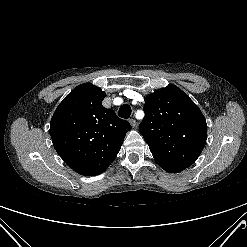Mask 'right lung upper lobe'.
Wrapping results in <instances>:
<instances>
[{
	"label": "right lung upper lobe",
	"instance_id": "cb5924a9",
	"mask_svg": "<svg viewBox=\"0 0 247 247\" xmlns=\"http://www.w3.org/2000/svg\"><path fill=\"white\" fill-rule=\"evenodd\" d=\"M105 97L97 86L84 83L59 104L50 123L56 152L74 171L95 176L117 156L131 125L102 106Z\"/></svg>",
	"mask_w": 247,
	"mask_h": 247
}]
</instances>
